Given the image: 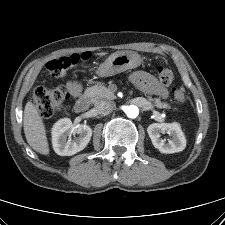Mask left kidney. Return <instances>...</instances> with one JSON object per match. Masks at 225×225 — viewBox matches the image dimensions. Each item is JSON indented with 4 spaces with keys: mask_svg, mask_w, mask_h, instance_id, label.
Instances as JSON below:
<instances>
[{
    "mask_svg": "<svg viewBox=\"0 0 225 225\" xmlns=\"http://www.w3.org/2000/svg\"><path fill=\"white\" fill-rule=\"evenodd\" d=\"M167 132L171 139H160V134ZM147 133L152 144L161 153L171 154L181 152L186 147V139L178 123H153L148 126Z\"/></svg>",
    "mask_w": 225,
    "mask_h": 225,
    "instance_id": "5707ae66",
    "label": "left kidney"
}]
</instances>
